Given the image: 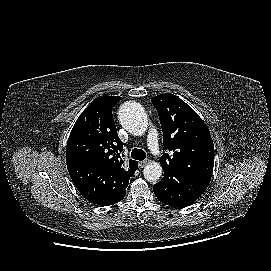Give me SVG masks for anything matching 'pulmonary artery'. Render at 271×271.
<instances>
[{"label":"pulmonary artery","instance_id":"e3ab8cb5","mask_svg":"<svg viewBox=\"0 0 271 271\" xmlns=\"http://www.w3.org/2000/svg\"><path fill=\"white\" fill-rule=\"evenodd\" d=\"M148 145L151 150V153L155 156L161 154V149L158 144V134L155 128L151 127L148 133Z\"/></svg>","mask_w":271,"mask_h":271}]
</instances>
